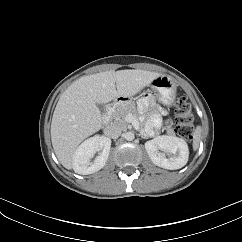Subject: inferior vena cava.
<instances>
[{"instance_id": "obj_1", "label": "inferior vena cava", "mask_w": 242, "mask_h": 242, "mask_svg": "<svg viewBox=\"0 0 242 242\" xmlns=\"http://www.w3.org/2000/svg\"><path fill=\"white\" fill-rule=\"evenodd\" d=\"M122 129L123 128L119 124L114 123L107 126L104 133L107 137L116 139L121 135Z\"/></svg>"}]
</instances>
